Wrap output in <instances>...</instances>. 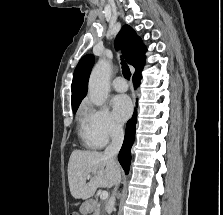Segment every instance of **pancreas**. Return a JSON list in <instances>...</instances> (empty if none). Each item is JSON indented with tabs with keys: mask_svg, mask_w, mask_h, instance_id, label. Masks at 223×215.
<instances>
[{
	"mask_svg": "<svg viewBox=\"0 0 223 215\" xmlns=\"http://www.w3.org/2000/svg\"><path fill=\"white\" fill-rule=\"evenodd\" d=\"M97 204V207H95V209L97 210L95 213H93V215H99V211L100 209H102V205L101 203H95Z\"/></svg>",
	"mask_w": 223,
	"mask_h": 215,
	"instance_id": "pancreas-1",
	"label": "pancreas"
}]
</instances>
